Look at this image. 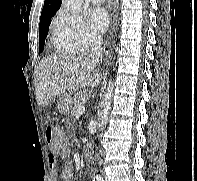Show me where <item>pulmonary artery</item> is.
<instances>
[{"mask_svg": "<svg viewBox=\"0 0 197 181\" xmlns=\"http://www.w3.org/2000/svg\"><path fill=\"white\" fill-rule=\"evenodd\" d=\"M91 1H92V3H94V4H101V3L104 2V0H91Z\"/></svg>", "mask_w": 197, "mask_h": 181, "instance_id": "obj_1", "label": "pulmonary artery"}]
</instances>
